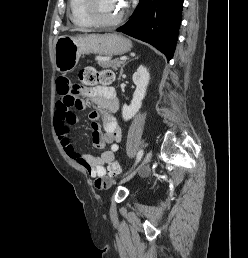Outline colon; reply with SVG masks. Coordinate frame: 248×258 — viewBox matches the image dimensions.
Returning a JSON list of instances; mask_svg holds the SVG:
<instances>
[{"label": "colon", "instance_id": "colon-1", "mask_svg": "<svg viewBox=\"0 0 248 258\" xmlns=\"http://www.w3.org/2000/svg\"><path fill=\"white\" fill-rule=\"evenodd\" d=\"M113 79V74L108 71H98L95 68L88 67L82 70L79 74L80 85L72 87V93L74 96H78L81 87H91L96 85L109 84ZM121 173L120 165L117 162H113L109 166V177L111 179L117 177Z\"/></svg>", "mask_w": 248, "mask_h": 258}]
</instances>
